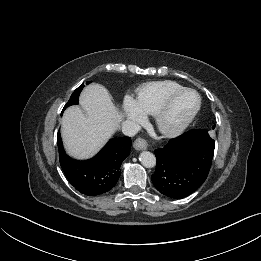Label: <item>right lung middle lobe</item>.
Listing matches in <instances>:
<instances>
[{
    "label": "right lung middle lobe",
    "instance_id": "dd1d6c3e",
    "mask_svg": "<svg viewBox=\"0 0 261 261\" xmlns=\"http://www.w3.org/2000/svg\"><path fill=\"white\" fill-rule=\"evenodd\" d=\"M90 82H87V84H89ZM84 88V84H81L71 95L69 101L67 102V104L65 105L64 109L70 105H74V104H78V99H79V95L80 92L82 91V89ZM63 109V110H64ZM63 112V111H62Z\"/></svg>",
    "mask_w": 261,
    "mask_h": 261
}]
</instances>
